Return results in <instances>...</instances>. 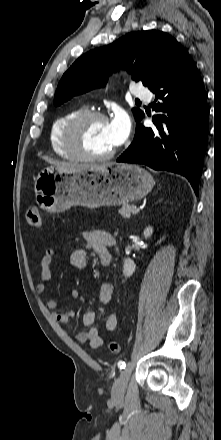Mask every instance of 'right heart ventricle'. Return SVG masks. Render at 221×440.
Instances as JSON below:
<instances>
[{
	"label": "right heart ventricle",
	"mask_w": 221,
	"mask_h": 440,
	"mask_svg": "<svg viewBox=\"0 0 221 440\" xmlns=\"http://www.w3.org/2000/svg\"><path fill=\"white\" fill-rule=\"evenodd\" d=\"M84 111V108H76L69 110L54 119L52 122L49 141L52 151L59 157L65 159H74L72 155L66 150L64 145L63 133L67 123L77 114Z\"/></svg>",
	"instance_id": "obj_1"
}]
</instances>
